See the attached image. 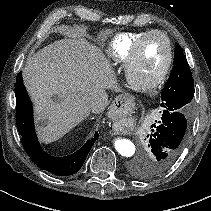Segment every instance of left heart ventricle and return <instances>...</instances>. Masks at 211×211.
Instances as JSON below:
<instances>
[{
	"label": "left heart ventricle",
	"mask_w": 211,
	"mask_h": 211,
	"mask_svg": "<svg viewBox=\"0 0 211 211\" xmlns=\"http://www.w3.org/2000/svg\"><path fill=\"white\" fill-rule=\"evenodd\" d=\"M167 58V45L163 37L153 35L144 42L133 76L137 83L148 84L160 72Z\"/></svg>",
	"instance_id": "obj_1"
}]
</instances>
